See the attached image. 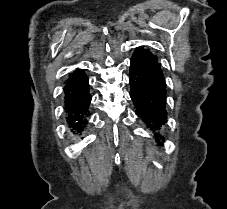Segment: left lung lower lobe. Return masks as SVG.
<instances>
[{
  "label": "left lung lower lobe",
  "mask_w": 227,
  "mask_h": 209,
  "mask_svg": "<svg viewBox=\"0 0 227 209\" xmlns=\"http://www.w3.org/2000/svg\"><path fill=\"white\" fill-rule=\"evenodd\" d=\"M130 77V96L138 116L152 130H160L167 121V112L166 84L158 59L143 48H136L130 61ZM159 137L155 134L157 142Z\"/></svg>",
  "instance_id": "obj_1"
}]
</instances>
